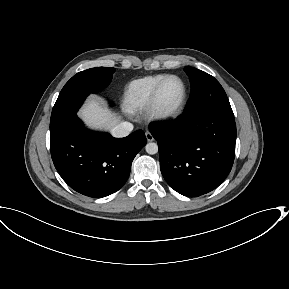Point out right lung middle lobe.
<instances>
[{"mask_svg": "<svg viewBox=\"0 0 289 289\" xmlns=\"http://www.w3.org/2000/svg\"><path fill=\"white\" fill-rule=\"evenodd\" d=\"M114 68L97 67L81 71L73 76L61 90L53 107L50 131L55 130L67 120L71 119L86 96L95 93L109 84Z\"/></svg>", "mask_w": 289, "mask_h": 289, "instance_id": "right-lung-middle-lobe-1", "label": "right lung middle lobe"}]
</instances>
